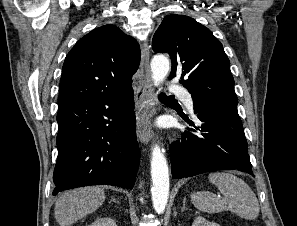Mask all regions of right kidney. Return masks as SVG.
<instances>
[{
  "label": "right kidney",
  "instance_id": "obj_1",
  "mask_svg": "<svg viewBox=\"0 0 297 226\" xmlns=\"http://www.w3.org/2000/svg\"><path fill=\"white\" fill-rule=\"evenodd\" d=\"M89 226H117L116 222L108 217L98 218Z\"/></svg>",
  "mask_w": 297,
  "mask_h": 226
}]
</instances>
